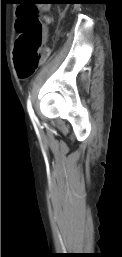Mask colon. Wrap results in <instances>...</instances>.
<instances>
[{"mask_svg": "<svg viewBox=\"0 0 122 257\" xmlns=\"http://www.w3.org/2000/svg\"><path fill=\"white\" fill-rule=\"evenodd\" d=\"M36 10L39 5H18L14 56L21 77L29 76L43 59L44 29Z\"/></svg>", "mask_w": 122, "mask_h": 257, "instance_id": "1", "label": "colon"}]
</instances>
